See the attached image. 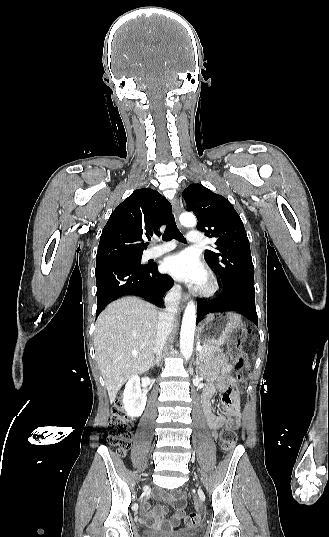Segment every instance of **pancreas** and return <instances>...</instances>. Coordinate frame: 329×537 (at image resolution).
<instances>
[{"mask_svg":"<svg viewBox=\"0 0 329 537\" xmlns=\"http://www.w3.org/2000/svg\"><path fill=\"white\" fill-rule=\"evenodd\" d=\"M218 352H220V349L218 347H215L213 345H204L198 356L203 361H211L214 359L215 354Z\"/></svg>","mask_w":329,"mask_h":537,"instance_id":"obj_1","label":"pancreas"}]
</instances>
